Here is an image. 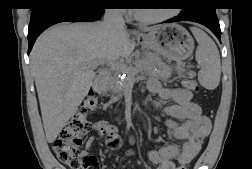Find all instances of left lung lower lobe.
<instances>
[{"mask_svg":"<svg viewBox=\"0 0 252 169\" xmlns=\"http://www.w3.org/2000/svg\"><path fill=\"white\" fill-rule=\"evenodd\" d=\"M179 21H193L200 23L209 28L216 35L219 41H221V29L215 12L196 13L188 16L180 15L174 19L166 21L165 23Z\"/></svg>","mask_w":252,"mask_h":169,"instance_id":"left-lung-lower-lobe-1","label":"left lung lower lobe"}]
</instances>
